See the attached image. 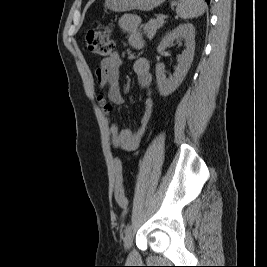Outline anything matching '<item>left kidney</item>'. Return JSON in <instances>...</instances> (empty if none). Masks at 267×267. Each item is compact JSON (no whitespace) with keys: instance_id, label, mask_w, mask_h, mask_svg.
I'll return each instance as SVG.
<instances>
[{"instance_id":"1","label":"left kidney","mask_w":267,"mask_h":267,"mask_svg":"<svg viewBox=\"0 0 267 267\" xmlns=\"http://www.w3.org/2000/svg\"><path fill=\"white\" fill-rule=\"evenodd\" d=\"M179 38L185 40L186 48L182 54L178 56V66L176 67L173 75H170L169 78H166L165 70L162 64L158 63L156 65V79L158 91L161 96L166 97L179 87L193 61L195 51V28L190 23L181 24L166 34L157 47V51L161 53L167 47H169L174 40Z\"/></svg>"}]
</instances>
